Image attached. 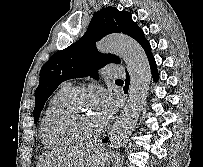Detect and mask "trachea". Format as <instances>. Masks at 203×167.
I'll return each mask as SVG.
<instances>
[{
  "label": "trachea",
  "instance_id": "3493384b",
  "mask_svg": "<svg viewBox=\"0 0 203 167\" xmlns=\"http://www.w3.org/2000/svg\"><path fill=\"white\" fill-rule=\"evenodd\" d=\"M116 81H122L121 79H117Z\"/></svg>",
  "mask_w": 203,
  "mask_h": 167
}]
</instances>
